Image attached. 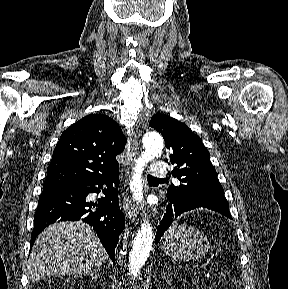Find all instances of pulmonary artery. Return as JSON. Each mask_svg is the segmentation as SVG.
I'll return each instance as SVG.
<instances>
[{"label": "pulmonary artery", "mask_w": 288, "mask_h": 289, "mask_svg": "<svg viewBox=\"0 0 288 289\" xmlns=\"http://www.w3.org/2000/svg\"><path fill=\"white\" fill-rule=\"evenodd\" d=\"M149 171L156 178H167L169 170L167 165L162 161H154L151 163Z\"/></svg>", "instance_id": "obj_1"}]
</instances>
